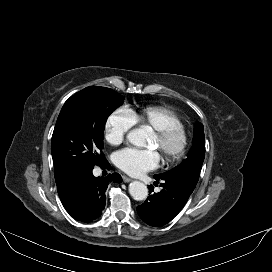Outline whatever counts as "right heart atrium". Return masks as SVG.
I'll use <instances>...</instances> for the list:
<instances>
[{
	"label": "right heart atrium",
	"mask_w": 272,
	"mask_h": 272,
	"mask_svg": "<svg viewBox=\"0 0 272 272\" xmlns=\"http://www.w3.org/2000/svg\"><path fill=\"white\" fill-rule=\"evenodd\" d=\"M134 123L124 108L115 109L104 124V139L110 145H119L124 141Z\"/></svg>",
	"instance_id": "right-heart-atrium-1"
}]
</instances>
